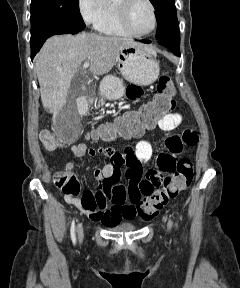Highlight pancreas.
<instances>
[{"label":"pancreas","instance_id":"obj_1","mask_svg":"<svg viewBox=\"0 0 240 288\" xmlns=\"http://www.w3.org/2000/svg\"><path fill=\"white\" fill-rule=\"evenodd\" d=\"M103 103H104V99L103 98L99 99L98 105H97L96 108H98L100 106V104L102 105Z\"/></svg>","mask_w":240,"mask_h":288}]
</instances>
